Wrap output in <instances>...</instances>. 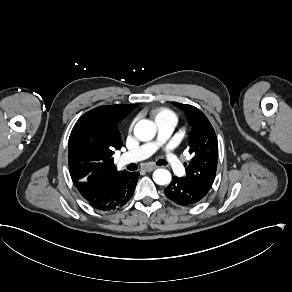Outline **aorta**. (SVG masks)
<instances>
[{
  "label": "aorta",
  "mask_w": 292,
  "mask_h": 292,
  "mask_svg": "<svg viewBox=\"0 0 292 292\" xmlns=\"http://www.w3.org/2000/svg\"><path fill=\"white\" fill-rule=\"evenodd\" d=\"M155 133V125L149 120H140L134 127V135L140 141H148L153 139ZM153 180L159 185L168 184L171 182V173L166 169H157L153 173Z\"/></svg>",
  "instance_id": "1"
}]
</instances>
